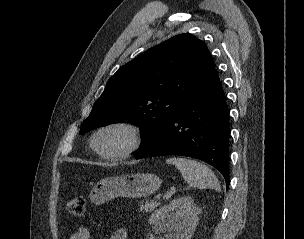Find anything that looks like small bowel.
Returning a JSON list of instances; mask_svg holds the SVG:
<instances>
[{"instance_id":"small-bowel-1","label":"small bowel","mask_w":304,"mask_h":239,"mask_svg":"<svg viewBox=\"0 0 304 239\" xmlns=\"http://www.w3.org/2000/svg\"><path fill=\"white\" fill-rule=\"evenodd\" d=\"M90 238H91L90 231L85 227L79 228L69 237V239H90ZM109 239H127V232L124 229H119L115 231Z\"/></svg>"}]
</instances>
